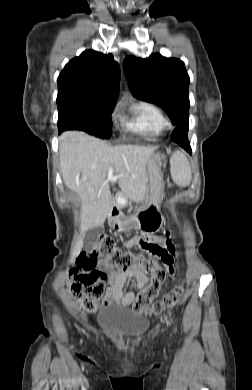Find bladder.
I'll list each match as a JSON object with an SVG mask.
<instances>
[{"label": "bladder", "instance_id": "obj_1", "mask_svg": "<svg viewBox=\"0 0 252 390\" xmlns=\"http://www.w3.org/2000/svg\"><path fill=\"white\" fill-rule=\"evenodd\" d=\"M98 324L105 335L122 341H134L147 329L144 320L120 311L106 312L99 317Z\"/></svg>", "mask_w": 252, "mask_h": 390}]
</instances>
